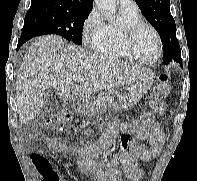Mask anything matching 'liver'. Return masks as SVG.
<instances>
[{
  "label": "liver",
  "instance_id": "liver-1",
  "mask_svg": "<svg viewBox=\"0 0 197 181\" xmlns=\"http://www.w3.org/2000/svg\"><path fill=\"white\" fill-rule=\"evenodd\" d=\"M63 49V50H62ZM152 71L115 57L94 54L62 37H39L27 50L16 82V102L21 124H28L44 106L47 88L65 98H86L99 91L131 84ZM76 75L87 78L76 84Z\"/></svg>",
  "mask_w": 197,
  "mask_h": 181
}]
</instances>
